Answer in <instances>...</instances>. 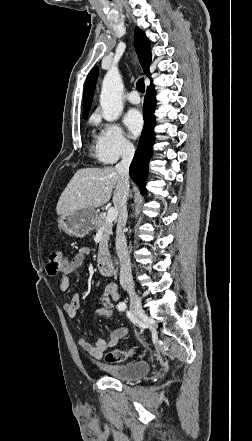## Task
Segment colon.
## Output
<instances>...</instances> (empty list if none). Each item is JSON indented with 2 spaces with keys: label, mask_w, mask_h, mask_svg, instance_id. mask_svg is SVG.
Returning <instances> with one entry per match:
<instances>
[{
  "label": "colon",
  "mask_w": 252,
  "mask_h": 441,
  "mask_svg": "<svg viewBox=\"0 0 252 441\" xmlns=\"http://www.w3.org/2000/svg\"><path fill=\"white\" fill-rule=\"evenodd\" d=\"M67 265L68 259L61 250L54 249L50 251L46 265V271L49 275H55L58 272L63 271ZM113 311V307L105 305L97 310L94 315L99 319H109L112 317ZM131 355L132 351L112 350L105 353L104 359L107 363H121L126 361Z\"/></svg>",
  "instance_id": "5ec220e1"
}]
</instances>
